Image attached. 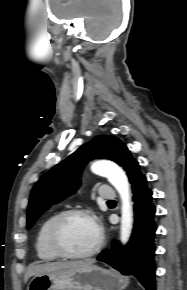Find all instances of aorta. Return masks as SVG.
<instances>
[{
    "label": "aorta",
    "instance_id": "1",
    "mask_svg": "<svg viewBox=\"0 0 187 290\" xmlns=\"http://www.w3.org/2000/svg\"><path fill=\"white\" fill-rule=\"evenodd\" d=\"M91 170L97 175L106 177L120 195L122 203L120 240L123 244H126L131 235L133 225V210L130 201L128 179L116 164L107 161L95 162Z\"/></svg>",
    "mask_w": 187,
    "mask_h": 290
}]
</instances>
